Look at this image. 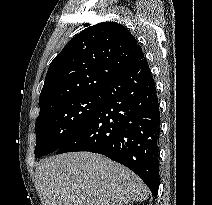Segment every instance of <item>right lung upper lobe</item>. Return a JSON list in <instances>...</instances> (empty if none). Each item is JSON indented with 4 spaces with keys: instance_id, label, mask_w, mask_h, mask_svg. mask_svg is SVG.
<instances>
[{
    "instance_id": "1",
    "label": "right lung upper lobe",
    "mask_w": 212,
    "mask_h": 205,
    "mask_svg": "<svg viewBox=\"0 0 212 205\" xmlns=\"http://www.w3.org/2000/svg\"><path fill=\"white\" fill-rule=\"evenodd\" d=\"M144 58L123 25L102 22L76 35L54 58L40 94V115L75 97L100 92L122 71Z\"/></svg>"
}]
</instances>
